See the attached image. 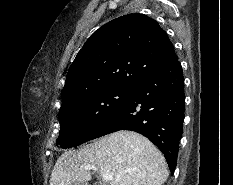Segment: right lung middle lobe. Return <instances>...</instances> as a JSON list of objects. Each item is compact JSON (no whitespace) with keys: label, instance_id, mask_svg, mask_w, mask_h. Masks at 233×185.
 I'll list each match as a JSON object with an SVG mask.
<instances>
[{"label":"right lung middle lobe","instance_id":"dd1d6c3e","mask_svg":"<svg viewBox=\"0 0 233 185\" xmlns=\"http://www.w3.org/2000/svg\"><path fill=\"white\" fill-rule=\"evenodd\" d=\"M128 89H106L80 97L60 109L61 148L80 145L124 102Z\"/></svg>","mask_w":233,"mask_h":185}]
</instances>
